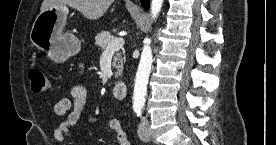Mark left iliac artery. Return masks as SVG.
Wrapping results in <instances>:
<instances>
[{
	"label": "left iliac artery",
	"instance_id": "left-iliac-artery-1",
	"mask_svg": "<svg viewBox=\"0 0 276 145\" xmlns=\"http://www.w3.org/2000/svg\"><path fill=\"white\" fill-rule=\"evenodd\" d=\"M134 111L136 112V114H137L138 117H141V115H142V107H136L134 109Z\"/></svg>",
	"mask_w": 276,
	"mask_h": 145
}]
</instances>
